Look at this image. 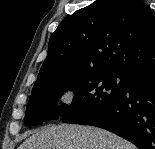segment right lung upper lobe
I'll list each match as a JSON object with an SVG mask.
<instances>
[{"instance_id":"obj_1","label":"right lung upper lobe","mask_w":155,"mask_h":149,"mask_svg":"<svg viewBox=\"0 0 155 149\" xmlns=\"http://www.w3.org/2000/svg\"><path fill=\"white\" fill-rule=\"evenodd\" d=\"M155 69V15L142 0H97L53 32L37 81L66 72ZM35 82V83H36Z\"/></svg>"}]
</instances>
